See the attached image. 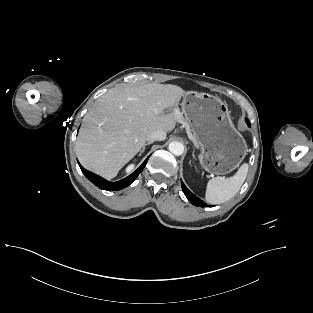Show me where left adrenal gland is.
I'll return each instance as SVG.
<instances>
[{
  "label": "left adrenal gland",
  "mask_w": 313,
  "mask_h": 313,
  "mask_svg": "<svg viewBox=\"0 0 313 313\" xmlns=\"http://www.w3.org/2000/svg\"><path fill=\"white\" fill-rule=\"evenodd\" d=\"M192 156L195 158V155H194V153H192Z\"/></svg>",
  "instance_id": "a2214340"
}]
</instances>
